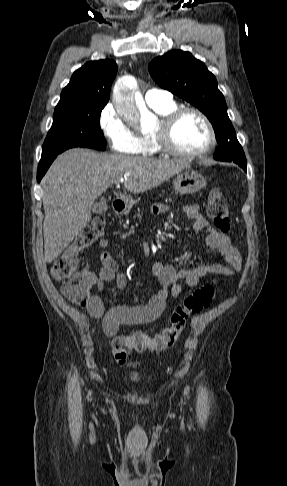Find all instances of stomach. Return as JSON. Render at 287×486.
<instances>
[{
	"label": "stomach",
	"instance_id": "stomach-1",
	"mask_svg": "<svg viewBox=\"0 0 287 486\" xmlns=\"http://www.w3.org/2000/svg\"><path fill=\"white\" fill-rule=\"evenodd\" d=\"M173 186L177 193L181 195L194 194L206 186V180L196 170L187 169L176 176ZM133 206L132 201L125 203V212H129Z\"/></svg>",
	"mask_w": 287,
	"mask_h": 486
}]
</instances>
